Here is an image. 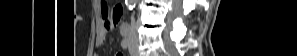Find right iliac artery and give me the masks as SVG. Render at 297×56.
Instances as JSON below:
<instances>
[{
	"label": "right iliac artery",
	"instance_id": "82829eb1",
	"mask_svg": "<svg viewBox=\"0 0 297 56\" xmlns=\"http://www.w3.org/2000/svg\"><path fill=\"white\" fill-rule=\"evenodd\" d=\"M121 46L126 49L128 46H129V41L128 39H123L122 42H121Z\"/></svg>",
	"mask_w": 297,
	"mask_h": 56
}]
</instances>
